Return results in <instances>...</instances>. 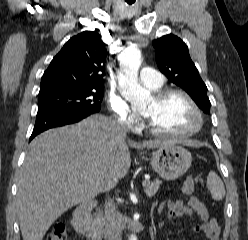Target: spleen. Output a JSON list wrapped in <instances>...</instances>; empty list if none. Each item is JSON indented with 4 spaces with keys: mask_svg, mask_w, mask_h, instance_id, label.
I'll return each instance as SVG.
<instances>
[{
    "mask_svg": "<svg viewBox=\"0 0 248 240\" xmlns=\"http://www.w3.org/2000/svg\"><path fill=\"white\" fill-rule=\"evenodd\" d=\"M207 187L214 200L220 201L225 196V187L220 177L211 171L207 176Z\"/></svg>",
    "mask_w": 248,
    "mask_h": 240,
    "instance_id": "1",
    "label": "spleen"
}]
</instances>
